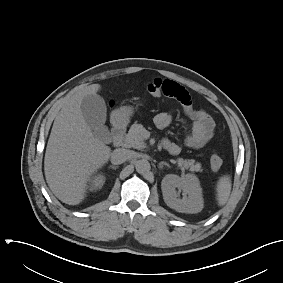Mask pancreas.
<instances>
[{"instance_id": "1", "label": "pancreas", "mask_w": 283, "mask_h": 283, "mask_svg": "<svg viewBox=\"0 0 283 283\" xmlns=\"http://www.w3.org/2000/svg\"><path fill=\"white\" fill-rule=\"evenodd\" d=\"M145 128L141 124H133L128 134L125 136L124 139V146L128 148H135L138 150H142L146 147L144 142L143 133ZM173 163H177L178 166H181L185 169H189L190 171H201V164L195 162L194 159L191 160H184L182 158H178L177 160L172 161Z\"/></svg>"}]
</instances>
